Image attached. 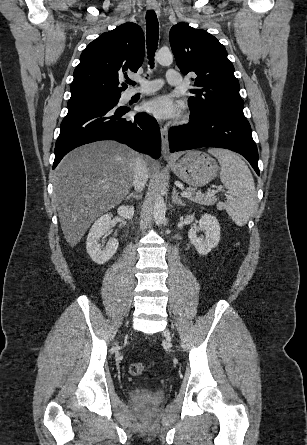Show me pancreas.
<instances>
[{"label":"pancreas","instance_id":"1","mask_svg":"<svg viewBox=\"0 0 307 445\" xmlns=\"http://www.w3.org/2000/svg\"><path fill=\"white\" fill-rule=\"evenodd\" d=\"M191 190H195V188H192V186H189ZM190 200H194V202H199V204H206V206H209V204H215L217 198L215 194H203V192H195L194 196H190Z\"/></svg>","mask_w":307,"mask_h":445}]
</instances>
